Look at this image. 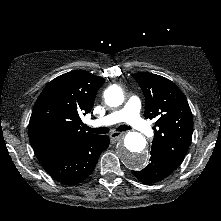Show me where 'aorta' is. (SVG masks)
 Segmentation results:
<instances>
[{
	"label": "aorta",
	"instance_id": "762f6f07",
	"mask_svg": "<svg viewBox=\"0 0 221 221\" xmlns=\"http://www.w3.org/2000/svg\"><path fill=\"white\" fill-rule=\"evenodd\" d=\"M105 102L111 107L119 106L124 101V95L120 87L111 86L105 90ZM120 161L129 169L140 170L147 161L146 141L142 134L138 132H128L123 144L118 148Z\"/></svg>",
	"mask_w": 221,
	"mask_h": 221
}]
</instances>
